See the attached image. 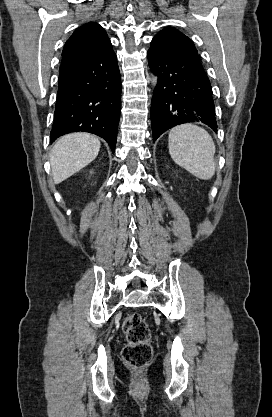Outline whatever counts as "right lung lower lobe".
<instances>
[{
	"label": "right lung lower lobe",
	"mask_w": 272,
	"mask_h": 417,
	"mask_svg": "<svg viewBox=\"0 0 272 417\" xmlns=\"http://www.w3.org/2000/svg\"><path fill=\"white\" fill-rule=\"evenodd\" d=\"M120 111V71L110 41L87 59L61 62L52 142L71 132H90L114 153Z\"/></svg>",
	"instance_id": "obj_1"
}]
</instances>
